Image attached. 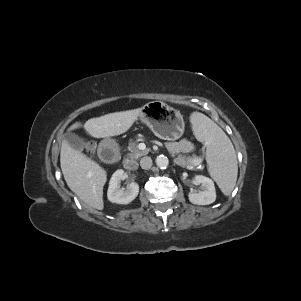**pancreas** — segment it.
Instances as JSON below:
<instances>
[{
    "instance_id": "obj_1",
    "label": "pancreas",
    "mask_w": 301,
    "mask_h": 301,
    "mask_svg": "<svg viewBox=\"0 0 301 301\" xmlns=\"http://www.w3.org/2000/svg\"><path fill=\"white\" fill-rule=\"evenodd\" d=\"M129 151L130 153L128 154L130 159H138L141 156H144L146 154H148L149 150H140L138 148V144L135 141H130L129 142ZM175 163L178 164L181 167H185L187 169H192L194 166L200 164L201 162V158H199L198 156L194 155V156H182L179 155L177 158H175Z\"/></svg>"
}]
</instances>
